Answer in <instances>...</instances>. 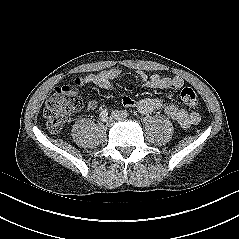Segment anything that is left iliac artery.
Instances as JSON below:
<instances>
[{
    "mask_svg": "<svg viewBox=\"0 0 239 239\" xmlns=\"http://www.w3.org/2000/svg\"><path fill=\"white\" fill-rule=\"evenodd\" d=\"M122 115H123L124 117H127L129 114H128V112H127L126 110H124V111H122Z\"/></svg>",
    "mask_w": 239,
    "mask_h": 239,
    "instance_id": "1",
    "label": "left iliac artery"
}]
</instances>
